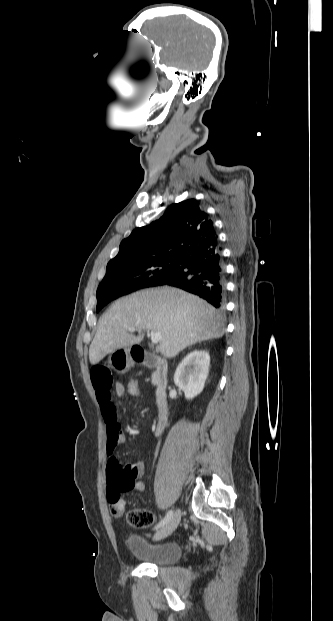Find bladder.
Listing matches in <instances>:
<instances>
[{
    "label": "bladder",
    "mask_w": 333,
    "mask_h": 621,
    "mask_svg": "<svg viewBox=\"0 0 333 621\" xmlns=\"http://www.w3.org/2000/svg\"><path fill=\"white\" fill-rule=\"evenodd\" d=\"M128 548L136 560L156 566L174 563L182 555V548L177 542L150 544L145 537L139 535H131L128 538Z\"/></svg>",
    "instance_id": "31cf9c89"
}]
</instances>
